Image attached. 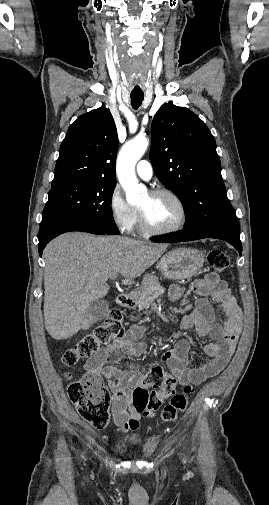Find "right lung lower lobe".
Here are the masks:
<instances>
[{"instance_id": "obj_1", "label": "right lung lower lobe", "mask_w": 269, "mask_h": 505, "mask_svg": "<svg viewBox=\"0 0 269 505\" xmlns=\"http://www.w3.org/2000/svg\"><path fill=\"white\" fill-rule=\"evenodd\" d=\"M70 231H82L99 235L107 234L100 229L79 222L69 220H54L40 226L38 234V249L40 256H42L43 249L49 241L62 233Z\"/></svg>"}]
</instances>
